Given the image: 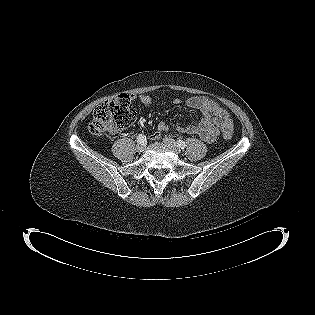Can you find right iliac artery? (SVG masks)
Listing matches in <instances>:
<instances>
[{
	"mask_svg": "<svg viewBox=\"0 0 315 315\" xmlns=\"http://www.w3.org/2000/svg\"><path fill=\"white\" fill-rule=\"evenodd\" d=\"M146 141V136L140 134L138 137H137V142L142 144Z\"/></svg>",
	"mask_w": 315,
	"mask_h": 315,
	"instance_id": "right-iliac-artery-1",
	"label": "right iliac artery"
}]
</instances>
